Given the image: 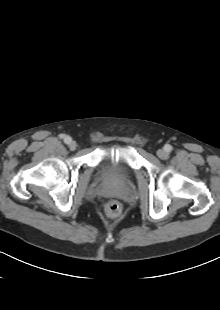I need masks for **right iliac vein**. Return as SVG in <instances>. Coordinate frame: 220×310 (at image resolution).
Wrapping results in <instances>:
<instances>
[{"instance_id": "right-iliac-vein-1", "label": "right iliac vein", "mask_w": 220, "mask_h": 310, "mask_svg": "<svg viewBox=\"0 0 220 310\" xmlns=\"http://www.w3.org/2000/svg\"><path fill=\"white\" fill-rule=\"evenodd\" d=\"M77 143L75 142V141H71L70 143H69V148L71 149V150H76V148H77Z\"/></svg>"}]
</instances>
